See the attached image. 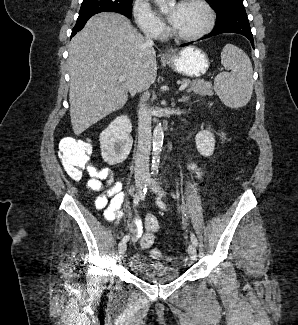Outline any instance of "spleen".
Instances as JSON below:
<instances>
[{"instance_id":"obj_1","label":"spleen","mask_w":298,"mask_h":325,"mask_svg":"<svg viewBox=\"0 0 298 325\" xmlns=\"http://www.w3.org/2000/svg\"><path fill=\"white\" fill-rule=\"evenodd\" d=\"M221 62L230 72H219L215 76V94L230 108L245 106L252 96L254 86L252 62L248 54L235 44H225Z\"/></svg>"}]
</instances>
